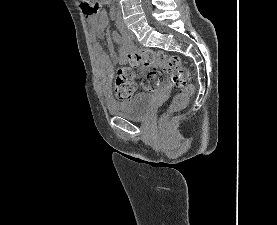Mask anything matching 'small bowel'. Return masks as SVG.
<instances>
[{
  "label": "small bowel",
  "mask_w": 277,
  "mask_h": 225,
  "mask_svg": "<svg viewBox=\"0 0 277 225\" xmlns=\"http://www.w3.org/2000/svg\"><path fill=\"white\" fill-rule=\"evenodd\" d=\"M88 21L92 26L93 37L101 35L108 24V18L105 12H101L98 17L95 15H88ZM112 39L116 43L123 44V46L119 50L118 57L120 60H126L127 58V50L125 47L126 44L121 40V38L116 32L112 33ZM92 50L96 60V64L100 69L101 74L105 76L107 73H110L113 67L110 62L109 56L102 50L101 45L97 41L93 42ZM134 77H135V74H134ZM106 86H107V82H103L104 89L106 88Z\"/></svg>",
  "instance_id": "obj_1"
}]
</instances>
